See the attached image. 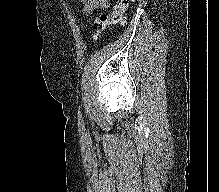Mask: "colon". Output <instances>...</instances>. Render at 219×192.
Returning <instances> with one entry per match:
<instances>
[{"label": "colon", "instance_id": "obj_1", "mask_svg": "<svg viewBox=\"0 0 219 192\" xmlns=\"http://www.w3.org/2000/svg\"><path fill=\"white\" fill-rule=\"evenodd\" d=\"M135 0H119L117 5L109 12L98 15L93 23L92 28L94 36L109 28L114 23L123 24L126 20V13Z\"/></svg>", "mask_w": 219, "mask_h": 192}]
</instances>
